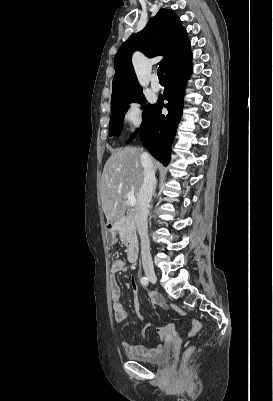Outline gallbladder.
<instances>
[{
	"label": "gallbladder",
	"instance_id": "bac80fb5",
	"mask_svg": "<svg viewBox=\"0 0 273 401\" xmlns=\"http://www.w3.org/2000/svg\"><path fill=\"white\" fill-rule=\"evenodd\" d=\"M107 244L109 245V246H113L114 244H115V241H114V232L113 231H108L107 232Z\"/></svg>",
	"mask_w": 273,
	"mask_h": 401
}]
</instances>
